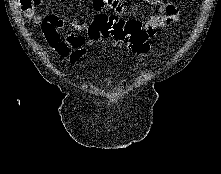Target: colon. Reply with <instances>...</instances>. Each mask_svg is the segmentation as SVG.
Segmentation results:
<instances>
[{"instance_id":"5ec220e1","label":"colon","mask_w":221,"mask_h":174,"mask_svg":"<svg viewBox=\"0 0 221 174\" xmlns=\"http://www.w3.org/2000/svg\"><path fill=\"white\" fill-rule=\"evenodd\" d=\"M41 0H20V6L27 18L32 19ZM92 40L112 39L124 43L137 57L144 58L150 50L148 35L143 24L135 19L124 20L107 14L97 15L87 29Z\"/></svg>"}]
</instances>
